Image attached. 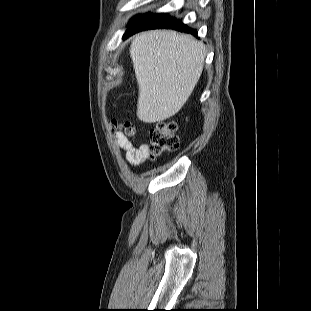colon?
<instances>
[{
  "instance_id": "obj_1",
  "label": "colon",
  "mask_w": 311,
  "mask_h": 311,
  "mask_svg": "<svg viewBox=\"0 0 311 311\" xmlns=\"http://www.w3.org/2000/svg\"><path fill=\"white\" fill-rule=\"evenodd\" d=\"M114 129H120L127 135L135 133V127L129 122H114ZM177 126L174 122H162L150 130L151 157L175 151L179 147V138L176 135Z\"/></svg>"
}]
</instances>
